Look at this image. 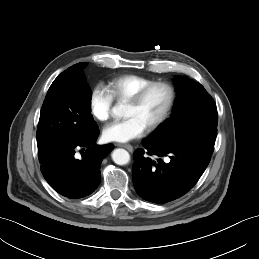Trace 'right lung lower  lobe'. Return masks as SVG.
I'll return each mask as SVG.
<instances>
[{"mask_svg": "<svg viewBox=\"0 0 259 259\" xmlns=\"http://www.w3.org/2000/svg\"><path fill=\"white\" fill-rule=\"evenodd\" d=\"M98 126L69 145L56 146L38 153L41 172L49 185L59 194L79 199L90 195L101 180L100 164L114 148L113 144H95ZM82 156L78 158L77 150Z\"/></svg>", "mask_w": 259, "mask_h": 259, "instance_id": "98d812e1", "label": "right lung lower lobe"}]
</instances>
